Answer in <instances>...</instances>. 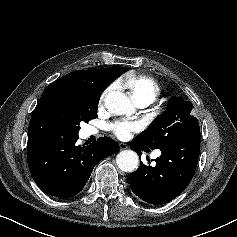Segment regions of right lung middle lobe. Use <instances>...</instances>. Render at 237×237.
Here are the masks:
<instances>
[{"label": "right lung middle lobe", "instance_id": "dd1d6c3e", "mask_svg": "<svg viewBox=\"0 0 237 237\" xmlns=\"http://www.w3.org/2000/svg\"><path fill=\"white\" fill-rule=\"evenodd\" d=\"M93 73L101 91L120 75L112 67L94 69ZM100 96L87 99H70L64 102L61 108V133L63 136L78 135L80 122H88L96 117Z\"/></svg>", "mask_w": 237, "mask_h": 237}]
</instances>
